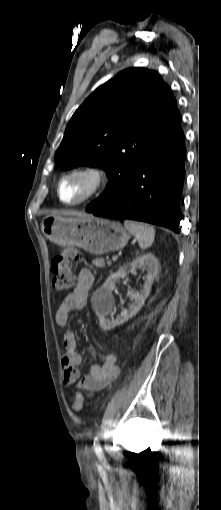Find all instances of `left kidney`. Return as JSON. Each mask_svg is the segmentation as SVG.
Wrapping results in <instances>:
<instances>
[{
	"instance_id": "obj_1",
	"label": "left kidney",
	"mask_w": 221,
	"mask_h": 510,
	"mask_svg": "<svg viewBox=\"0 0 221 510\" xmlns=\"http://www.w3.org/2000/svg\"><path fill=\"white\" fill-rule=\"evenodd\" d=\"M142 269L146 271V279L143 289L140 292L128 291L127 296L133 300V303L129 305L128 309H123L121 314L116 319L107 318L108 315L114 314L115 300L112 295L115 289L116 283L120 278L126 277V275L136 269ZM159 268V262L152 253L144 254L130 263L124 264L115 273H112L92 296L91 303L95 314L98 316L100 321V327L103 330H110L116 326H119L130 318L135 316L144 305L146 298L148 297L153 280L157 275Z\"/></svg>"
}]
</instances>
